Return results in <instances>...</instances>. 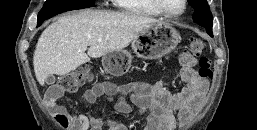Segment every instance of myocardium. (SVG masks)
<instances>
[{
	"label": "myocardium",
	"instance_id": "1",
	"mask_svg": "<svg viewBox=\"0 0 257 130\" xmlns=\"http://www.w3.org/2000/svg\"><path fill=\"white\" fill-rule=\"evenodd\" d=\"M153 5L164 15L168 16V17H178L180 15H182L186 8H187V5H188V0H183V7L182 9L179 11V12H176V13H173V12H170L168 11L164 6L163 4L161 3L160 0H151Z\"/></svg>",
	"mask_w": 257,
	"mask_h": 130
}]
</instances>
